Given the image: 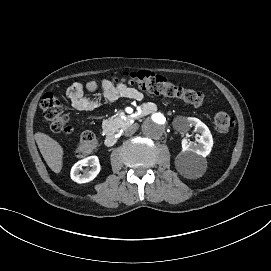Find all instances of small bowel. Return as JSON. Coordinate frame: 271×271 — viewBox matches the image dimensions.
<instances>
[{"label": "small bowel", "instance_id": "small-bowel-1", "mask_svg": "<svg viewBox=\"0 0 271 271\" xmlns=\"http://www.w3.org/2000/svg\"><path fill=\"white\" fill-rule=\"evenodd\" d=\"M97 88L98 84L94 81L85 84L75 82L66 89L65 93L71 106L78 111H92L100 107L102 103H113L122 97L134 100L143 99V94L137 88L123 82L112 83L109 80H103L101 83L102 100L85 96V90L93 92ZM153 107V103H146L144 106L145 110H150Z\"/></svg>", "mask_w": 271, "mask_h": 271}]
</instances>
